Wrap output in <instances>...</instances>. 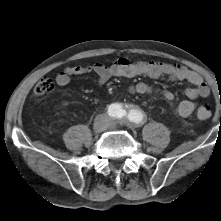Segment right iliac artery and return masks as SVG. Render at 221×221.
Instances as JSON below:
<instances>
[{
    "instance_id": "1",
    "label": "right iliac artery",
    "mask_w": 221,
    "mask_h": 221,
    "mask_svg": "<svg viewBox=\"0 0 221 221\" xmlns=\"http://www.w3.org/2000/svg\"><path fill=\"white\" fill-rule=\"evenodd\" d=\"M108 115L115 118H121L126 114V112L122 109V107L118 104H111L108 107L107 111Z\"/></svg>"
}]
</instances>
